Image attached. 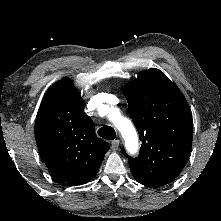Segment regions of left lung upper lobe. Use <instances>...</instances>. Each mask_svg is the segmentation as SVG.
I'll list each match as a JSON object with an SVG mask.
<instances>
[{
  "label": "left lung upper lobe",
  "mask_w": 221,
  "mask_h": 221,
  "mask_svg": "<svg viewBox=\"0 0 221 221\" xmlns=\"http://www.w3.org/2000/svg\"><path fill=\"white\" fill-rule=\"evenodd\" d=\"M128 113L142 141L129 158L134 178L145 186L172 182L184 168L192 144V115L178 87L160 70L149 69L123 87ZM128 156L125 150H122Z\"/></svg>",
  "instance_id": "1"
}]
</instances>
